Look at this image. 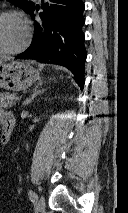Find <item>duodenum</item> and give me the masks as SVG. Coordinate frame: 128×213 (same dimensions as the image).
<instances>
[{"instance_id":"410a0bca","label":"duodenum","mask_w":128,"mask_h":213,"mask_svg":"<svg viewBox=\"0 0 128 213\" xmlns=\"http://www.w3.org/2000/svg\"><path fill=\"white\" fill-rule=\"evenodd\" d=\"M2 133L0 135V144L6 145L9 143L13 130L15 128V117L8 113L2 120Z\"/></svg>"}]
</instances>
